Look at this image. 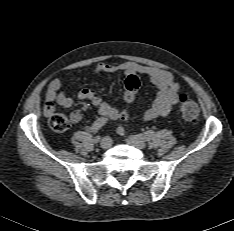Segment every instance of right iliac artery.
Wrapping results in <instances>:
<instances>
[{"instance_id": "obj_1", "label": "right iliac artery", "mask_w": 234, "mask_h": 231, "mask_svg": "<svg viewBox=\"0 0 234 231\" xmlns=\"http://www.w3.org/2000/svg\"><path fill=\"white\" fill-rule=\"evenodd\" d=\"M107 123V121L104 118H99L97 119L92 127H91V131L95 134L97 133L105 124Z\"/></svg>"}]
</instances>
